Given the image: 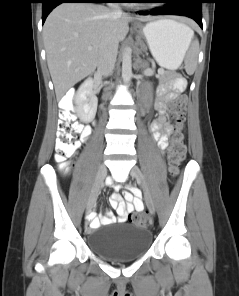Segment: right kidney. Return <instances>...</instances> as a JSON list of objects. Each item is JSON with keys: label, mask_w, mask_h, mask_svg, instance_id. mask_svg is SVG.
Instances as JSON below:
<instances>
[{"label": "right kidney", "mask_w": 239, "mask_h": 296, "mask_svg": "<svg viewBox=\"0 0 239 296\" xmlns=\"http://www.w3.org/2000/svg\"><path fill=\"white\" fill-rule=\"evenodd\" d=\"M94 81L89 78L82 83L74 97L76 111L82 122H90L96 114L98 99L93 91Z\"/></svg>", "instance_id": "1"}]
</instances>
